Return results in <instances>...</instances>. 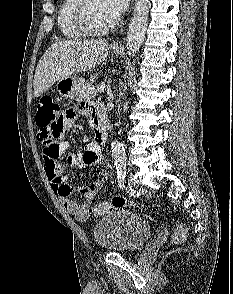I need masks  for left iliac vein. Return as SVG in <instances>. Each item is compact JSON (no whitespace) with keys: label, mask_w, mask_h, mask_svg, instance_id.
Listing matches in <instances>:
<instances>
[{"label":"left iliac vein","mask_w":233,"mask_h":294,"mask_svg":"<svg viewBox=\"0 0 233 294\" xmlns=\"http://www.w3.org/2000/svg\"><path fill=\"white\" fill-rule=\"evenodd\" d=\"M128 185L129 187H131L132 189L136 187V182L132 179V177L129 178L128 180ZM141 189H139L140 191Z\"/></svg>","instance_id":"1"}]
</instances>
